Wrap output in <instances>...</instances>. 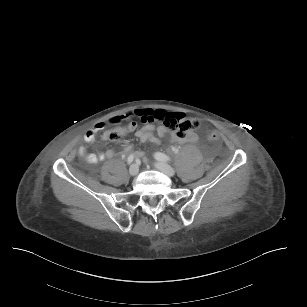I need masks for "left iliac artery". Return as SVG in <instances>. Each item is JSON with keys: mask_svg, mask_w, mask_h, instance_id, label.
I'll return each mask as SVG.
<instances>
[{"mask_svg": "<svg viewBox=\"0 0 307 307\" xmlns=\"http://www.w3.org/2000/svg\"><path fill=\"white\" fill-rule=\"evenodd\" d=\"M178 151L176 150L175 153H177ZM155 159L159 160V161H169L171 158L163 153L157 152L154 155Z\"/></svg>", "mask_w": 307, "mask_h": 307, "instance_id": "obj_1", "label": "left iliac artery"}]
</instances>
